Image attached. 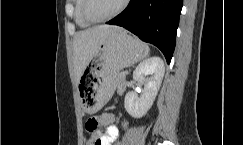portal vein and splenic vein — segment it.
I'll use <instances>...</instances> for the list:
<instances>
[{
    "instance_id": "portal-vein-and-splenic-vein-1",
    "label": "portal vein and splenic vein",
    "mask_w": 243,
    "mask_h": 145,
    "mask_svg": "<svg viewBox=\"0 0 243 145\" xmlns=\"http://www.w3.org/2000/svg\"><path fill=\"white\" fill-rule=\"evenodd\" d=\"M123 74V76H126V74L125 73H122Z\"/></svg>"
}]
</instances>
